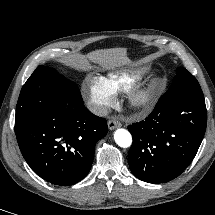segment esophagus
<instances>
[{"instance_id": "1", "label": "esophagus", "mask_w": 215, "mask_h": 215, "mask_svg": "<svg viewBox=\"0 0 215 215\" xmlns=\"http://www.w3.org/2000/svg\"><path fill=\"white\" fill-rule=\"evenodd\" d=\"M121 127V122H119L118 120L112 118L108 121V128L110 130H113L115 128Z\"/></svg>"}]
</instances>
